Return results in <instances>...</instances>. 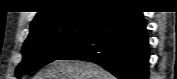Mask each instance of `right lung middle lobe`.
Here are the masks:
<instances>
[{"instance_id": "right-lung-middle-lobe-1", "label": "right lung middle lobe", "mask_w": 177, "mask_h": 79, "mask_svg": "<svg viewBox=\"0 0 177 79\" xmlns=\"http://www.w3.org/2000/svg\"><path fill=\"white\" fill-rule=\"evenodd\" d=\"M101 15L93 13L52 22L31 30L22 48L23 60L16 69V76L20 77L58 60L87 37Z\"/></svg>"}]
</instances>
